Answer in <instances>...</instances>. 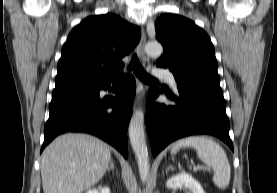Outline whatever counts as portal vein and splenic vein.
Instances as JSON below:
<instances>
[{
  "label": "portal vein and splenic vein",
  "instance_id": "portal-vein-and-splenic-vein-1",
  "mask_svg": "<svg viewBox=\"0 0 277 193\" xmlns=\"http://www.w3.org/2000/svg\"><path fill=\"white\" fill-rule=\"evenodd\" d=\"M209 170V168L205 167V166H201V165H198V166H195L193 168L194 171H197V170Z\"/></svg>",
  "mask_w": 277,
  "mask_h": 193
}]
</instances>
